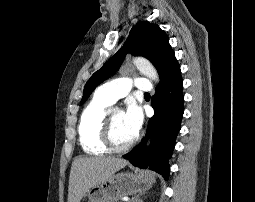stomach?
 Returning a JSON list of instances; mask_svg holds the SVG:
<instances>
[{"mask_svg": "<svg viewBox=\"0 0 255 202\" xmlns=\"http://www.w3.org/2000/svg\"><path fill=\"white\" fill-rule=\"evenodd\" d=\"M105 181H111V176ZM154 181V176L149 172L123 173V178H120V181H114V186L98 184L91 187L86 196L88 202H117L125 195L145 193L152 187Z\"/></svg>", "mask_w": 255, "mask_h": 202, "instance_id": "0dacf381", "label": "stomach"}]
</instances>
